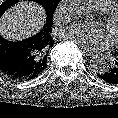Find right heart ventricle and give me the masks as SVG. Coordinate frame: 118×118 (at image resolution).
<instances>
[{
    "label": "right heart ventricle",
    "instance_id": "obj_1",
    "mask_svg": "<svg viewBox=\"0 0 118 118\" xmlns=\"http://www.w3.org/2000/svg\"><path fill=\"white\" fill-rule=\"evenodd\" d=\"M93 8L100 12L105 13L117 5V0H90Z\"/></svg>",
    "mask_w": 118,
    "mask_h": 118
}]
</instances>
